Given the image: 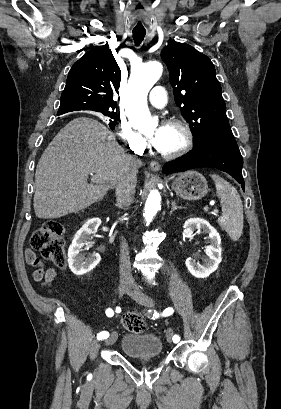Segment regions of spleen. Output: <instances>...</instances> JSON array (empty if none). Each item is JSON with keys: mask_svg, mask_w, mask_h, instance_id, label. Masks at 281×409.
<instances>
[{"mask_svg": "<svg viewBox=\"0 0 281 409\" xmlns=\"http://www.w3.org/2000/svg\"><path fill=\"white\" fill-rule=\"evenodd\" d=\"M218 198H220L222 207V217H219L218 223L232 241H238L242 235L244 227L243 205L239 192L230 182L218 176L211 174Z\"/></svg>", "mask_w": 281, "mask_h": 409, "instance_id": "3e777b00", "label": "spleen"}]
</instances>
